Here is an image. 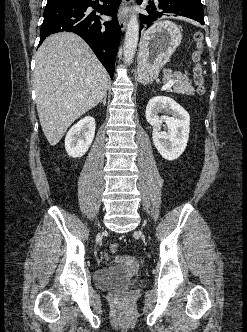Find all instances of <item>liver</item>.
Here are the masks:
<instances>
[{
  "instance_id": "6515ba94",
  "label": "liver",
  "mask_w": 247,
  "mask_h": 332,
  "mask_svg": "<svg viewBox=\"0 0 247 332\" xmlns=\"http://www.w3.org/2000/svg\"><path fill=\"white\" fill-rule=\"evenodd\" d=\"M108 81L107 71L78 35L56 33L42 43L33 82L38 117L51 146L76 119L102 101Z\"/></svg>"
}]
</instances>
